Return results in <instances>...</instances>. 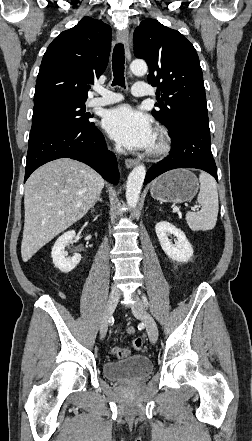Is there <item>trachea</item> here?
Here are the masks:
<instances>
[{
  "label": "trachea",
  "mask_w": 252,
  "mask_h": 441,
  "mask_svg": "<svg viewBox=\"0 0 252 441\" xmlns=\"http://www.w3.org/2000/svg\"><path fill=\"white\" fill-rule=\"evenodd\" d=\"M124 45L122 43H117L113 50L112 56V69H113V85H118L121 87L125 86L124 78Z\"/></svg>",
  "instance_id": "3493384b"
}]
</instances>
